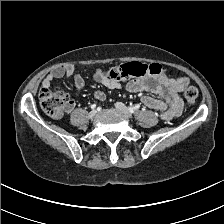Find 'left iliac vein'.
Segmentation results:
<instances>
[{"label":"left iliac vein","mask_w":224,"mask_h":224,"mask_svg":"<svg viewBox=\"0 0 224 224\" xmlns=\"http://www.w3.org/2000/svg\"><path fill=\"white\" fill-rule=\"evenodd\" d=\"M115 107L119 111H121L122 113H124L127 118H129V119L132 118L131 113L129 112V110L127 109V107L123 103L117 102V103H115Z\"/></svg>","instance_id":"1"}]
</instances>
